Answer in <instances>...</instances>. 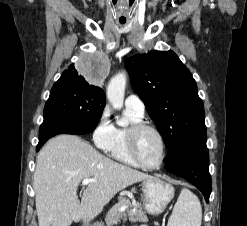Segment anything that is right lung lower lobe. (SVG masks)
I'll return each mask as SVG.
<instances>
[{
    "label": "right lung lower lobe",
    "instance_id": "obj_1",
    "mask_svg": "<svg viewBox=\"0 0 247 226\" xmlns=\"http://www.w3.org/2000/svg\"><path fill=\"white\" fill-rule=\"evenodd\" d=\"M95 128L92 125H75L68 122L53 120L50 122H43L39 129V143L37 145V151L41 146L51 137L57 134H87L94 130Z\"/></svg>",
    "mask_w": 247,
    "mask_h": 226
}]
</instances>
